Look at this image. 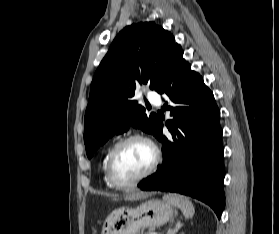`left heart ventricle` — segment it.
Here are the masks:
<instances>
[{"label":"left heart ventricle","instance_id":"obj_1","mask_svg":"<svg viewBox=\"0 0 279 234\" xmlns=\"http://www.w3.org/2000/svg\"><path fill=\"white\" fill-rule=\"evenodd\" d=\"M152 160L153 151L149 145L132 141L117 154L113 165L114 177L119 182L131 181L144 173Z\"/></svg>","mask_w":279,"mask_h":234}]
</instances>
